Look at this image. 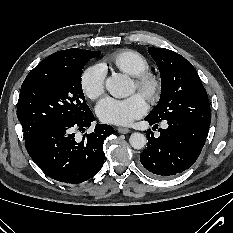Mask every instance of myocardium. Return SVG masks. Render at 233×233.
I'll use <instances>...</instances> for the list:
<instances>
[{
    "label": "myocardium",
    "mask_w": 233,
    "mask_h": 233,
    "mask_svg": "<svg viewBox=\"0 0 233 233\" xmlns=\"http://www.w3.org/2000/svg\"><path fill=\"white\" fill-rule=\"evenodd\" d=\"M134 84L138 92L150 102H156L161 95L163 82L157 73L146 70L134 76Z\"/></svg>",
    "instance_id": "1"
}]
</instances>
